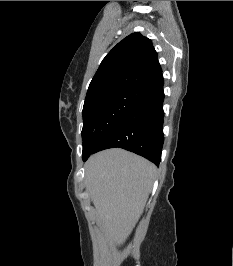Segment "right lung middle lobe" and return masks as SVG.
<instances>
[{
  "label": "right lung middle lobe",
  "instance_id": "right-lung-middle-lobe-1",
  "mask_svg": "<svg viewBox=\"0 0 233 266\" xmlns=\"http://www.w3.org/2000/svg\"><path fill=\"white\" fill-rule=\"evenodd\" d=\"M145 95L144 91L122 90L85 101L82 112V155L94 151Z\"/></svg>",
  "mask_w": 233,
  "mask_h": 266
}]
</instances>
